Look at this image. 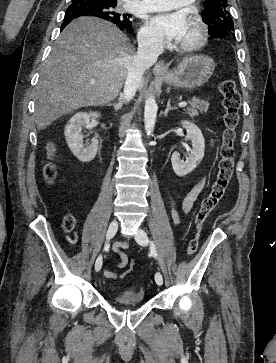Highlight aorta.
<instances>
[{
    "mask_svg": "<svg viewBox=\"0 0 276 363\" xmlns=\"http://www.w3.org/2000/svg\"><path fill=\"white\" fill-rule=\"evenodd\" d=\"M157 110L158 107L155 98L153 96H150L145 102L144 110V123L147 135H151L154 130Z\"/></svg>",
    "mask_w": 276,
    "mask_h": 363,
    "instance_id": "obj_1",
    "label": "aorta"
}]
</instances>
